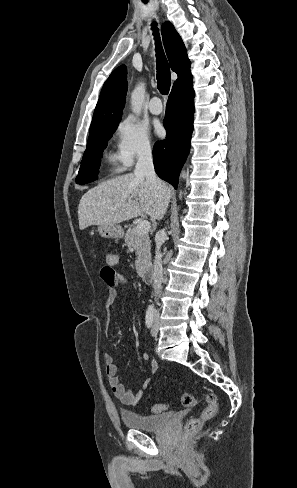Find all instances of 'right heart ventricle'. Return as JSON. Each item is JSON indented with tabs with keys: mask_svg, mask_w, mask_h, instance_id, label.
<instances>
[{
	"mask_svg": "<svg viewBox=\"0 0 297 488\" xmlns=\"http://www.w3.org/2000/svg\"><path fill=\"white\" fill-rule=\"evenodd\" d=\"M106 159H107V162L109 163V165L112 167V169H114L116 171L121 170L122 164L120 163L117 156H115L113 154H108Z\"/></svg>",
	"mask_w": 297,
	"mask_h": 488,
	"instance_id": "obj_1",
	"label": "right heart ventricle"
}]
</instances>
